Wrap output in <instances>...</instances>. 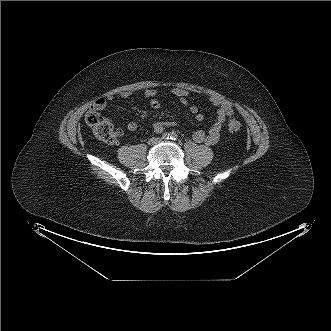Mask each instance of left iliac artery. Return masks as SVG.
<instances>
[{"mask_svg":"<svg viewBox=\"0 0 331 331\" xmlns=\"http://www.w3.org/2000/svg\"><path fill=\"white\" fill-rule=\"evenodd\" d=\"M177 138H178V135L176 133L172 132L171 135H170V139L171 140H176Z\"/></svg>","mask_w":331,"mask_h":331,"instance_id":"obj_1","label":"left iliac artery"}]
</instances>
